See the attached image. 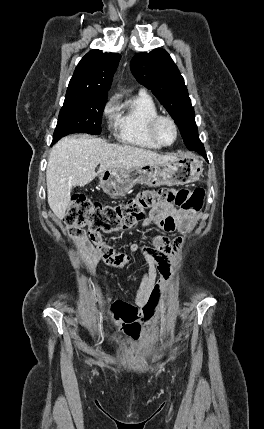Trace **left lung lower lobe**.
<instances>
[{
  "mask_svg": "<svg viewBox=\"0 0 264 429\" xmlns=\"http://www.w3.org/2000/svg\"><path fill=\"white\" fill-rule=\"evenodd\" d=\"M197 150V152H200L201 153V155H203V156H205V150H203V149H196ZM195 150V151H196Z\"/></svg>",
  "mask_w": 264,
  "mask_h": 429,
  "instance_id": "1",
  "label": "left lung lower lobe"
}]
</instances>
